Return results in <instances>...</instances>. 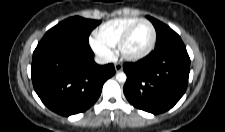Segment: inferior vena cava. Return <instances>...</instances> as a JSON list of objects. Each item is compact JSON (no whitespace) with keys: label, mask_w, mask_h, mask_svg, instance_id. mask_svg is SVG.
I'll use <instances>...</instances> for the list:
<instances>
[{"label":"inferior vena cava","mask_w":225,"mask_h":132,"mask_svg":"<svg viewBox=\"0 0 225 132\" xmlns=\"http://www.w3.org/2000/svg\"><path fill=\"white\" fill-rule=\"evenodd\" d=\"M95 62L97 64H107V63L111 62V60L107 57L97 56V57H95Z\"/></svg>","instance_id":"inferior-vena-cava-1"}]
</instances>
